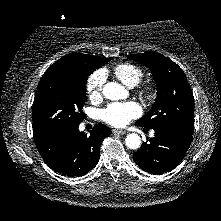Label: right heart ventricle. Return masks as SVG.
Instances as JSON below:
<instances>
[{"label": "right heart ventricle", "mask_w": 221, "mask_h": 221, "mask_svg": "<svg viewBox=\"0 0 221 221\" xmlns=\"http://www.w3.org/2000/svg\"><path fill=\"white\" fill-rule=\"evenodd\" d=\"M113 74L128 87L136 86L144 77L143 70L132 63H121L116 65L113 68Z\"/></svg>", "instance_id": "e07e8e85"}]
</instances>
